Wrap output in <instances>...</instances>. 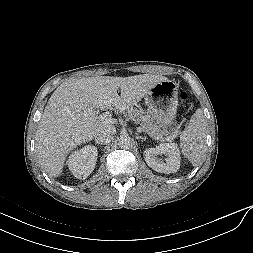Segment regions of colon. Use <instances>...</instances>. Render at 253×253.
I'll return each instance as SVG.
<instances>
[{
	"mask_svg": "<svg viewBox=\"0 0 253 253\" xmlns=\"http://www.w3.org/2000/svg\"><path fill=\"white\" fill-rule=\"evenodd\" d=\"M187 98H188L187 93H186L185 91H182V92L180 93V100H181L182 102H186V101H187Z\"/></svg>",
	"mask_w": 253,
	"mask_h": 253,
	"instance_id": "colon-1",
	"label": "colon"
}]
</instances>
